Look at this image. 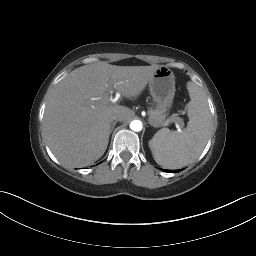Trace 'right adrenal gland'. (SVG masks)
<instances>
[{
	"instance_id": "1",
	"label": "right adrenal gland",
	"mask_w": 256,
	"mask_h": 256,
	"mask_svg": "<svg viewBox=\"0 0 256 256\" xmlns=\"http://www.w3.org/2000/svg\"><path fill=\"white\" fill-rule=\"evenodd\" d=\"M116 123H117V121H115V122L112 123L110 133H112V131H113V129H114Z\"/></svg>"
}]
</instances>
